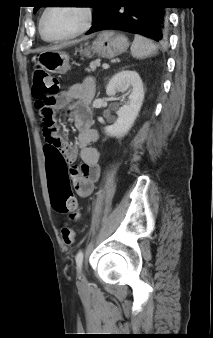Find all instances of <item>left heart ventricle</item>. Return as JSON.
Listing matches in <instances>:
<instances>
[{"label": "left heart ventricle", "instance_id": "obj_1", "mask_svg": "<svg viewBox=\"0 0 213 338\" xmlns=\"http://www.w3.org/2000/svg\"><path fill=\"white\" fill-rule=\"evenodd\" d=\"M84 22V13L78 7H55L46 15L43 33L46 38L55 39L78 30Z\"/></svg>", "mask_w": 213, "mask_h": 338}]
</instances>
